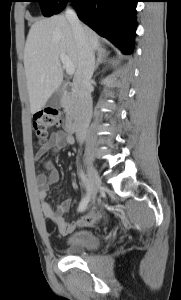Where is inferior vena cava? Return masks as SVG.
<instances>
[{"mask_svg":"<svg viewBox=\"0 0 181 300\" xmlns=\"http://www.w3.org/2000/svg\"><path fill=\"white\" fill-rule=\"evenodd\" d=\"M65 16L72 27L79 56L74 87L78 96L76 138L79 143H82L86 139L92 117L91 78L94 73L95 56L76 12L68 7Z\"/></svg>","mask_w":181,"mask_h":300,"instance_id":"602c4592","label":"inferior vena cava"}]
</instances>
